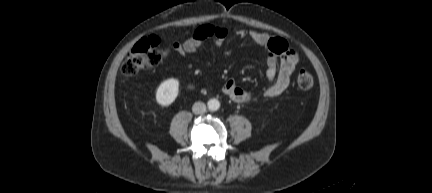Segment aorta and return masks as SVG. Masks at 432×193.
I'll use <instances>...</instances> for the list:
<instances>
[{"mask_svg": "<svg viewBox=\"0 0 432 193\" xmlns=\"http://www.w3.org/2000/svg\"><path fill=\"white\" fill-rule=\"evenodd\" d=\"M207 105H208V109L211 111H216L220 108V102L218 99H215V98L210 99L208 101Z\"/></svg>", "mask_w": 432, "mask_h": 193, "instance_id": "1", "label": "aorta"}]
</instances>
